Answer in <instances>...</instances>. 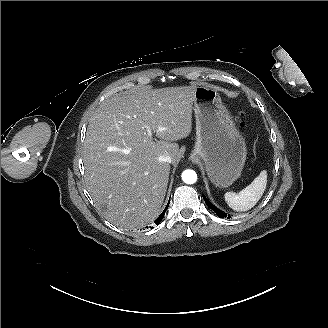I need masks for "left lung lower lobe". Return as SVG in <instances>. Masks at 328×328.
Returning <instances> with one entry per match:
<instances>
[{
	"label": "left lung lower lobe",
	"instance_id": "0a47b994",
	"mask_svg": "<svg viewBox=\"0 0 328 328\" xmlns=\"http://www.w3.org/2000/svg\"><path fill=\"white\" fill-rule=\"evenodd\" d=\"M203 199L205 201V203L207 204V206L212 209L220 218H223V217H227L228 219L231 218L230 215H226V213L222 212L221 210H219L218 208H216L214 205H212L208 200L207 198H205L203 196Z\"/></svg>",
	"mask_w": 328,
	"mask_h": 328
}]
</instances>
